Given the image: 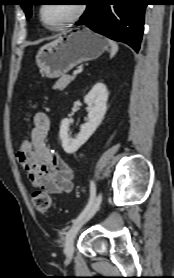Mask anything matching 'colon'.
<instances>
[{
	"mask_svg": "<svg viewBox=\"0 0 174 278\" xmlns=\"http://www.w3.org/2000/svg\"><path fill=\"white\" fill-rule=\"evenodd\" d=\"M33 142L31 137L21 140L18 152L21 154L28 153L32 150ZM31 201L34 208L40 213H46L51 206V198L48 193L36 190L31 194Z\"/></svg>",
	"mask_w": 174,
	"mask_h": 278,
	"instance_id": "obj_1",
	"label": "colon"
}]
</instances>
